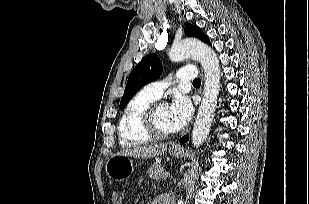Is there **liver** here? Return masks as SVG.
I'll return each mask as SVG.
<instances>
[{
  "mask_svg": "<svg viewBox=\"0 0 309 204\" xmlns=\"http://www.w3.org/2000/svg\"><path fill=\"white\" fill-rule=\"evenodd\" d=\"M168 144H153L126 148L118 155H126L135 158H153L163 155L167 150Z\"/></svg>",
  "mask_w": 309,
  "mask_h": 204,
  "instance_id": "obj_1",
  "label": "liver"
}]
</instances>
